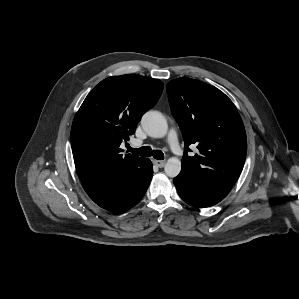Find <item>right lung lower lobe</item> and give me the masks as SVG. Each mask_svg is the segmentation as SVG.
<instances>
[{"label": "right lung lower lobe", "instance_id": "obj_1", "mask_svg": "<svg viewBox=\"0 0 299 299\" xmlns=\"http://www.w3.org/2000/svg\"><path fill=\"white\" fill-rule=\"evenodd\" d=\"M152 175V163L144 158L138 166L110 180L82 181V186L100 207L112 212H123L135 206L143 198Z\"/></svg>", "mask_w": 299, "mask_h": 299}]
</instances>
